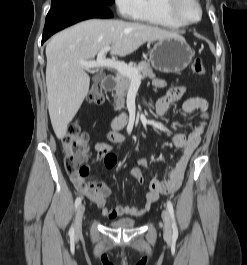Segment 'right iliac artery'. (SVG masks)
I'll return each mask as SVG.
<instances>
[{
    "mask_svg": "<svg viewBox=\"0 0 247 265\" xmlns=\"http://www.w3.org/2000/svg\"><path fill=\"white\" fill-rule=\"evenodd\" d=\"M81 201H82V198L77 197V199L75 200V208H77L80 205ZM69 235H70V237H74V227L73 226L69 230Z\"/></svg>",
    "mask_w": 247,
    "mask_h": 265,
    "instance_id": "right-iliac-artery-1",
    "label": "right iliac artery"
}]
</instances>
